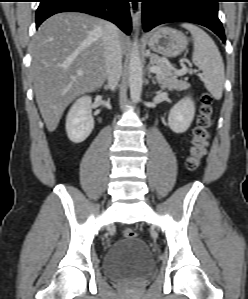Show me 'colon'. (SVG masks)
<instances>
[{"instance_id":"colon-1","label":"colon","mask_w":248,"mask_h":299,"mask_svg":"<svg viewBox=\"0 0 248 299\" xmlns=\"http://www.w3.org/2000/svg\"><path fill=\"white\" fill-rule=\"evenodd\" d=\"M214 107L213 98L205 93L201 97V107L197 119V125L193 131V139L190 147V155L187 159V168L190 171L196 170L206 153V148L210 138V130L213 124ZM123 237L126 239H134L137 233L130 228L123 230Z\"/></svg>"}]
</instances>
